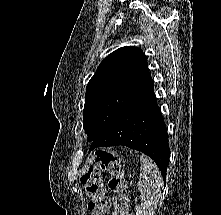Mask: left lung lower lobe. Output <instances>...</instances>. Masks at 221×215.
<instances>
[{"label": "left lung lower lobe", "mask_w": 221, "mask_h": 215, "mask_svg": "<svg viewBox=\"0 0 221 215\" xmlns=\"http://www.w3.org/2000/svg\"><path fill=\"white\" fill-rule=\"evenodd\" d=\"M114 145H124L151 157L165 180L170 150L166 126L153 88L98 135L89 151L101 146Z\"/></svg>", "instance_id": "left-lung-lower-lobe-1"}]
</instances>
